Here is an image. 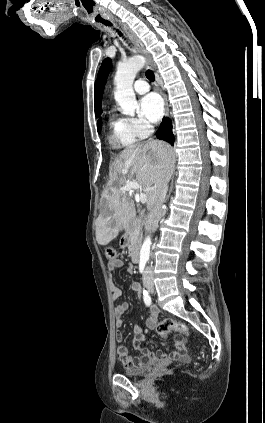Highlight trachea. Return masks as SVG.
<instances>
[{
    "label": "trachea",
    "mask_w": 265,
    "mask_h": 423,
    "mask_svg": "<svg viewBox=\"0 0 265 423\" xmlns=\"http://www.w3.org/2000/svg\"><path fill=\"white\" fill-rule=\"evenodd\" d=\"M103 24H105L106 26H112L111 22H109V21L103 22ZM118 33L120 34V36L122 35L119 31H118ZM146 77L150 81H154L155 80L154 73L151 70H147Z\"/></svg>",
    "instance_id": "1"
}]
</instances>
